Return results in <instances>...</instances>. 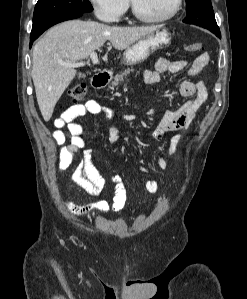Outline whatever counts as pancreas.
Wrapping results in <instances>:
<instances>
[{
	"label": "pancreas",
	"instance_id": "obj_1",
	"mask_svg": "<svg viewBox=\"0 0 247 299\" xmlns=\"http://www.w3.org/2000/svg\"><path fill=\"white\" fill-rule=\"evenodd\" d=\"M133 69H126L125 71L121 72L120 74L115 75L114 77V81H112L111 85L114 87H117L121 81H123V79L125 77H127V75L130 74V72H133Z\"/></svg>",
	"mask_w": 247,
	"mask_h": 299
}]
</instances>
